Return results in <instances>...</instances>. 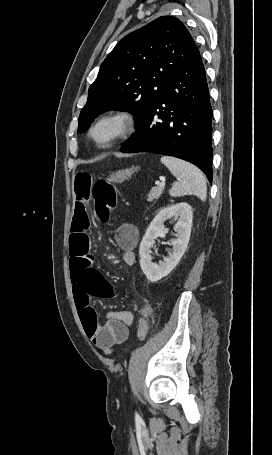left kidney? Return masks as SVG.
<instances>
[{
    "label": "left kidney",
    "instance_id": "1",
    "mask_svg": "<svg viewBox=\"0 0 272 455\" xmlns=\"http://www.w3.org/2000/svg\"><path fill=\"white\" fill-rule=\"evenodd\" d=\"M174 217L177 223L174 226L177 232V239L172 240L173 251L159 265L152 262L151 248L157 237L164 238L166 229L164 222ZM193 212L189 204L182 202L175 205L162 208L150 223L146 233L140 243V267L147 279L151 282H157L167 276L179 263L184 255L191 234Z\"/></svg>",
    "mask_w": 272,
    "mask_h": 455
}]
</instances>
